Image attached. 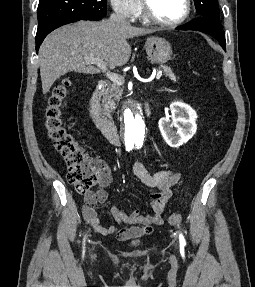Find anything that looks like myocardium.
<instances>
[{"mask_svg": "<svg viewBox=\"0 0 255 287\" xmlns=\"http://www.w3.org/2000/svg\"><path fill=\"white\" fill-rule=\"evenodd\" d=\"M149 33H156V32H149ZM167 33H173V32H167ZM132 39H135V38H132ZM159 39H172V38H159ZM132 48H134V47H132ZM148 48H150V47H148Z\"/></svg>", "mask_w": 255, "mask_h": 287, "instance_id": "f54148a6", "label": "myocardium"}]
</instances>
